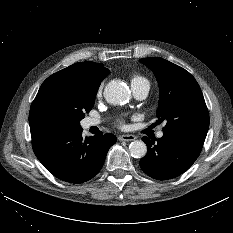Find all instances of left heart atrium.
<instances>
[{
	"mask_svg": "<svg viewBox=\"0 0 233 233\" xmlns=\"http://www.w3.org/2000/svg\"><path fill=\"white\" fill-rule=\"evenodd\" d=\"M119 124H120V125H123V120H120V121H119Z\"/></svg>",
	"mask_w": 233,
	"mask_h": 233,
	"instance_id": "39dd6f15",
	"label": "left heart atrium"
}]
</instances>
